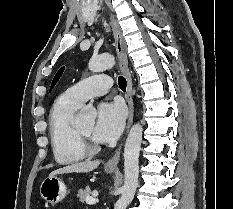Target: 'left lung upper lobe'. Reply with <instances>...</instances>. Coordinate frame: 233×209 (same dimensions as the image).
Returning <instances> with one entry per match:
<instances>
[{"label": "left lung upper lobe", "mask_w": 233, "mask_h": 209, "mask_svg": "<svg viewBox=\"0 0 233 209\" xmlns=\"http://www.w3.org/2000/svg\"><path fill=\"white\" fill-rule=\"evenodd\" d=\"M64 71V67H62L55 75V77L53 78V81L51 83V87L50 90L55 86V84L57 83V81L59 80L60 76L62 75Z\"/></svg>", "instance_id": "left-lung-upper-lobe-1"}]
</instances>
